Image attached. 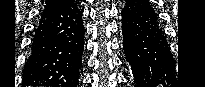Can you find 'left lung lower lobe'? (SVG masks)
Here are the masks:
<instances>
[{
	"instance_id": "left-lung-lower-lobe-1",
	"label": "left lung lower lobe",
	"mask_w": 205,
	"mask_h": 87,
	"mask_svg": "<svg viewBox=\"0 0 205 87\" xmlns=\"http://www.w3.org/2000/svg\"><path fill=\"white\" fill-rule=\"evenodd\" d=\"M123 49L135 87L165 86L174 79L175 61L157 13L148 0H126L122 9Z\"/></svg>"
}]
</instances>
